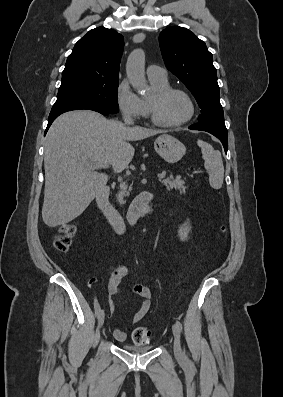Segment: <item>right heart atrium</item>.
I'll return each instance as SVG.
<instances>
[{"mask_svg": "<svg viewBox=\"0 0 283 397\" xmlns=\"http://www.w3.org/2000/svg\"><path fill=\"white\" fill-rule=\"evenodd\" d=\"M116 102L125 118L135 120L146 114L142 99L132 90L126 79L117 86Z\"/></svg>", "mask_w": 283, "mask_h": 397, "instance_id": "1", "label": "right heart atrium"}]
</instances>
